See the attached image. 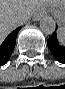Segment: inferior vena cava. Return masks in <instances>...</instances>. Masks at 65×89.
I'll list each match as a JSON object with an SVG mask.
<instances>
[{
	"label": "inferior vena cava",
	"instance_id": "obj_1",
	"mask_svg": "<svg viewBox=\"0 0 65 89\" xmlns=\"http://www.w3.org/2000/svg\"><path fill=\"white\" fill-rule=\"evenodd\" d=\"M28 19L27 18H21L20 20L16 21V27L21 26L23 23H25Z\"/></svg>",
	"mask_w": 65,
	"mask_h": 89
}]
</instances>
